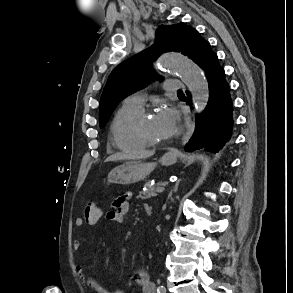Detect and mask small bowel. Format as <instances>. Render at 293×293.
<instances>
[{
  "label": "small bowel",
  "instance_id": "obj_1",
  "mask_svg": "<svg viewBox=\"0 0 293 293\" xmlns=\"http://www.w3.org/2000/svg\"><path fill=\"white\" fill-rule=\"evenodd\" d=\"M131 197V193H125L117 198L113 202L111 210L108 211L106 218L115 223H122L125 219L126 214L129 211V201ZM75 223L77 226L83 225V221L80 218L76 219ZM73 248L75 251L79 250L81 248V242L79 240L74 241ZM77 274L82 279L84 284H86L98 293H128L131 288V286H129L127 289L109 290L96 283L92 278L88 277L84 273V268L81 265L77 267ZM133 277L135 283L140 287L141 293H155V286L151 281L150 275L147 271L137 270L134 272Z\"/></svg>",
  "mask_w": 293,
  "mask_h": 293
}]
</instances>
